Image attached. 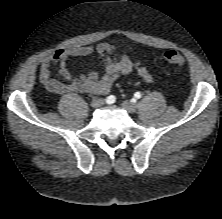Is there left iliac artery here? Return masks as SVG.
Returning <instances> with one entry per match:
<instances>
[{
	"instance_id": "obj_1",
	"label": "left iliac artery",
	"mask_w": 222,
	"mask_h": 219,
	"mask_svg": "<svg viewBox=\"0 0 222 219\" xmlns=\"http://www.w3.org/2000/svg\"><path fill=\"white\" fill-rule=\"evenodd\" d=\"M141 93L140 92H136L135 94H134V97L135 98H137V99H139V98H141Z\"/></svg>"
}]
</instances>
